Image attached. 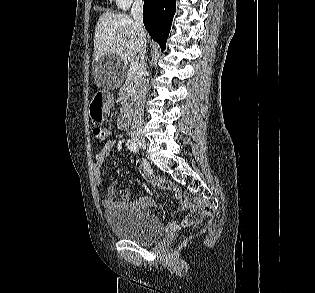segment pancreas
<instances>
[{
  "instance_id": "cf45deb5",
  "label": "pancreas",
  "mask_w": 315,
  "mask_h": 293,
  "mask_svg": "<svg viewBox=\"0 0 315 293\" xmlns=\"http://www.w3.org/2000/svg\"><path fill=\"white\" fill-rule=\"evenodd\" d=\"M136 73H128L123 86L120 88L119 95L122 97V111L127 113L131 110L136 96ZM129 99L131 102H128Z\"/></svg>"
}]
</instances>
